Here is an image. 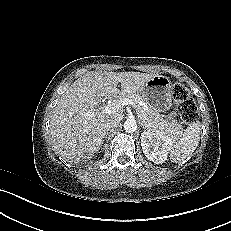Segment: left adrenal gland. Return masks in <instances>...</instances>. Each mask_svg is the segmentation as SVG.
<instances>
[{
    "label": "left adrenal gland",
    "mask_w": 231,
    "mask_h": 231,
    "mask_svg": "<svg viewBox=\"0 0 231 231\" xmlns=\"http://www.w3.org/2000/svg\"><path fill=\"white\" fill-rule=\"evenodd\" d=\"M141 126H143V127H144L143 123H141ZM145 128H146V127H145Z\"/></svg>",
    "instance_id": "a2214340"
}]
</instances>
